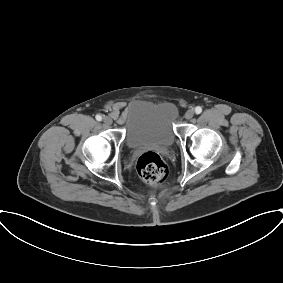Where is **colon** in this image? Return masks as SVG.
Wrapping results in <instances>:
<instances>
[{
  "label": "colon",
  "mask_w": 283,
  "mask_h": 283,
  "mask_svg": "<svg viewBox=\"0 0 283 283\" xmlns=\"http://www.w3.org/2000/svg\"><path fill=\"white\" fill-rule=\"evenodd\" d=\"M137 171L140 178L151 186L161 185L168 176V167L155 152L143 153L137 161Z\"/></svg>",
  "instance_id": "1"
}]
</instances>
